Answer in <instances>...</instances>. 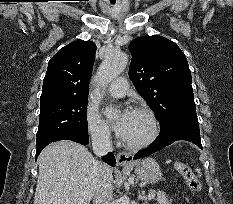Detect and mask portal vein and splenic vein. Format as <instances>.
Instances as JSON below:
<instances>
[{
  "label": "portal vein and splenic vein",
  "instance_id": "obj_1",
  "mask_svg": "<svg viewBox=\"0 0 233 204\" xmlns=\"http://www.w3.org/2000/svg\"><path fill=\"white\" fill-rule=\"evenodd\" d=\"M155 195H156V194H155L154 192L149 193L148 199H149V200L153 199V198L155 197Z\"/></svg>",
  "mask_w": 233,
  "mask_h": 204
}]
</instances>
